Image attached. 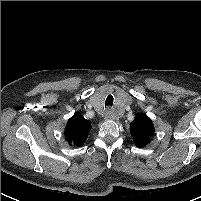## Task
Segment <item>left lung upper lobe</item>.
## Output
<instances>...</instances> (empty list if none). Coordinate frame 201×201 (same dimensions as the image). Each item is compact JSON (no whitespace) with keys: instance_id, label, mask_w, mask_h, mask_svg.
I'll return each mask as SVG.
<instances>
[{"instance_id":"5c2ea615","label":"left lung upper lobe","mask_w":201,"mask_h":201,"mask_svg":"<svg viewBox=\"0 0 201 201\" xmlns=\"http://www.w3.org/2000/svg\"><path fill=\"white\" fill-rule=\"evenodd\" d=\"M130 133L137 147H144L150 143L154 134V125L149 117L139 114L130 124Z\"/></svg>"}]
</instances>
